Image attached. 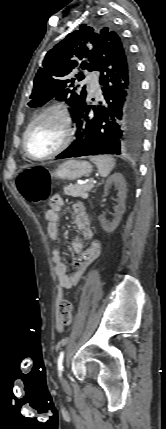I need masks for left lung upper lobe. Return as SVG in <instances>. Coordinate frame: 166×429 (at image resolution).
Returning <instances> with one entry per match:
<instances>
[{"label":"left lung upper lobe","mask_w":166,"mask_h":429,"mask_svg":"<svg viewBox=\"0 0 166 429\" xmlns=\"http://www.w3.org/2000/svg\"><path fill=\"white\" fill-rule=\"evenodd\" d=\"M114 36L119 37L108 27L93 28L86 24L69 33L46 54L42 67L35 76L28 105L33 108L39 107L56 97L57 100L65 101L71 106L74 121L87 98L85 86L71 89L75 80L84 79V75L74 72L78 67L93 71L100 47Z\"/></svg>","instance_id":"obj_1"}]
</instances>
